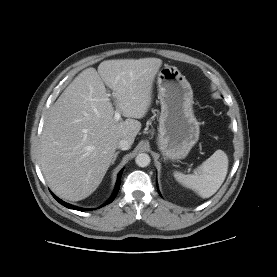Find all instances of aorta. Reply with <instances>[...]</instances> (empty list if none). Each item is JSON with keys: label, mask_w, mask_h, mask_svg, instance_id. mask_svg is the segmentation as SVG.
I'll list each match as a JSON object with an SVG mask.
<instances>
[{"label": "aorta", "mask_w": 277, "mask_h": 277, "mask_svg": "<svg viewBox=\"0 0 277 277\" xmlns=\"http://www.w3.org/2000/svg\"><path fill=\"white\" fill-rule=\"evenodd\" d=\"M150 156L146 153L138 154L135 158V162L139 167H146L150 164Z\"/></svg>", "instance_id": "obj_1"}]
</instances>
